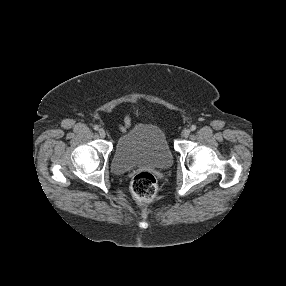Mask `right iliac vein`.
Wrapping results in <instances>:
<instances>
[{
    "instance_id": "obj_1",
    "label": "right iliac vein",
    "mask_w": 286,
    "mask_h": 286,
    "mask_svg": "<svg viewBox=\"0 0 286 286\" xmlns=\"http://www.w3.org/2000/svg\"><path fill=\"white\" fill-rule=\"evenodd\" d=\"M99 135H100L101 138H105L106 131L103 128L99 129Z\"/></svg>"
}]
</instances>
